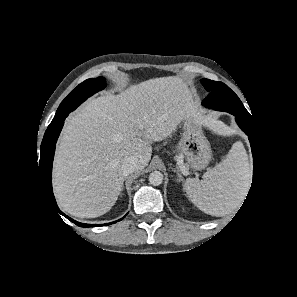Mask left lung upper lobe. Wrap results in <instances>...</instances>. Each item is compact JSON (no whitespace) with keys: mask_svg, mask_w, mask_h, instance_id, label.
<instances>
[{"mask_svg":"<svg viewBox=\"0 0 297 297\" xmlns=\"http://www.w3.org/2000/svg\"><path fill=\"white\" fill-rule=\"evenodd\" d=\"M202 84L209 92L202 102L205 107L226 111L243 119H252L238 96L227 85L209 79H202Z\"/></svg>","mask_w":297,"mask_h":297,"instance_id":"5c2ea615","label":"left lung upper lobe"}]
</instances>
